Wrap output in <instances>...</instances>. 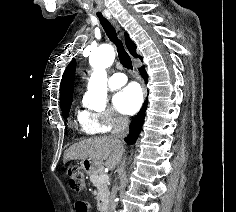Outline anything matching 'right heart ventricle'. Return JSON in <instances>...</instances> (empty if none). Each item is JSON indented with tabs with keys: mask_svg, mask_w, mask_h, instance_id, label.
Masks as SVG:
<instances>
[{
	"mask_svg": "<svg viewBox=\"0 0 236 212\" xmlns=\"http://www.w3.org/2000/svg\"><path fill=\"white\" fill-rule=\"evenodd\" d=\"M81 114H82V112H79V113H78V120H79V122H80V116H81Z\"/></svg>",
	"mask_w": 236,
	"mask_h": 212,
	"instance_id": "e07e8e85",
	"label": "right heart ventricle"
}]
</instances>
